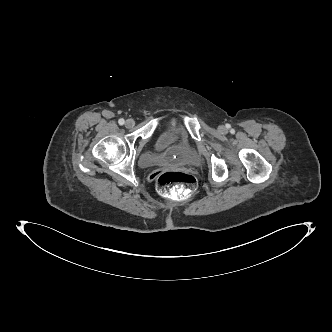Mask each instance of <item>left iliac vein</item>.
<instances>
[{
	"mask_svg": "<svg viewBox=\"0 0 332 332\" xmlns=\"http://www.w3.org/2000/svg\"><path fill=\"white\" fill-rule=\"evenodd\" d=\"M218 129H219L220 132H224L225 131V128L223 126H219Z\"/></svg>",
	"mask_w": 332,
	"mask_h": 332,
	"instance_id": "left-iliac-vein-1",
	"label": "left iliac vein"
}]
</instances>
